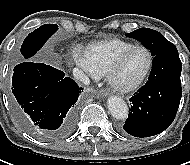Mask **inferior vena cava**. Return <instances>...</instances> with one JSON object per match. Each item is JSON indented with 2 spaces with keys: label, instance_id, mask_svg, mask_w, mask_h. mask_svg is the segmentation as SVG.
Instances as JSON below:
<instances>
[{
  "label": "inferior vena cava",
  "instance_id": "602c4592",
  "mask_svg": "<svg viewBox=\"0 0 190 165\" xmlns=\"http://www.w3.org/2000/svg\"><path fill=\"white\" fill-rule=\"evenodd\" d=\"M73 75L74 78L77 79L78 81H81L82 83H84L85 85H89L90 84V80L88 78L87 75H85L81 70H79L78 68H74L73 69Z\"/></svg>",
  "mask_w": 190,
  "mask_h": 165
}]
</instances>
